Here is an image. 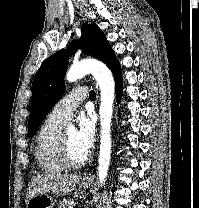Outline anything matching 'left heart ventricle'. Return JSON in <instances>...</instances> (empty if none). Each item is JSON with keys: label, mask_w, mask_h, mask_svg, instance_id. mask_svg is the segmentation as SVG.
<instances>
[{"label": "left heart ventricle", "mask_w": 199, "mask_h": 208, "mask_svg": "<svg viewBox=\"0 0 199 208\" xmlns=\"http://www.w3.org/2000/svg\"><path fill=\"white\" fill-rule=\"evenodd\" d=\"M66 137L68 141L69 152L74 160H81L86 155L87 152L81 148V146L77 142V136L75 131H68L66 132Z\"/></svg>", "instance_id": "b2bd125f"}]
</instances>
